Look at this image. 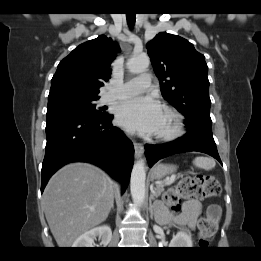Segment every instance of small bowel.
Here are the masks:
<instances>
[{
	"instance_id": "c3829d8e",
	"label": "small bowel",
	"mask_w": 261,
	"mask_h": 261,
	"mask_svg": "<svg viewBox=\"0 0 261 261\" xmlns=\"http://www.w3.org/2000/svg\"><path fill=\"white\" fill-rule=\"evenodd\" d=\"M200 209V203L197 201H186L183 205L181 213L172 216L171 222L176 225H187L189 228L195 229L197 218L200 214ZM210 211L215 215L216 218L219 217L220 208L217 205H211Z\"/></svg>"
}]
</instances>
